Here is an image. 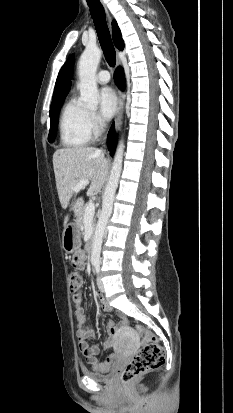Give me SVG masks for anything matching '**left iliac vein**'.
<instances>
[{
  "mask_svg": "<svg viewBox=\"0 0 233 413\" xmlns=\"http://www.w3.org/2000/svg\"><path fill=\"white\" fill-rule=\"evenodd\" d=\"M97 285H98V288H99V290H100L101 292H104V291H105V289H104V284H103L100 276H98V278H97Z\"/></svg>",
  "mask_w": 233,
  "mask_h": 413,
  "instance_id": "left-iliac-vein-1",
  "label": "left iliac vein"
}]
</instances>
